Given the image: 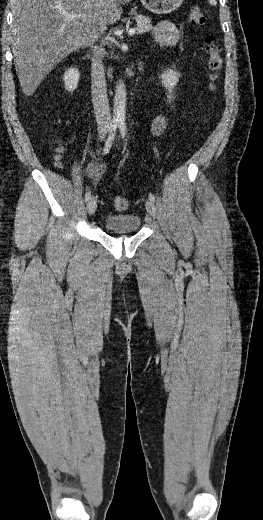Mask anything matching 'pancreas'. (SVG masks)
<instances>
[{
  "label": "pancreas",
  "instance_id": "pancreas-1",
  "mask_svg": "<svg viewBox=\"0 0 263 520\" xmlns=\"http://www.w3.org/2000/svg\"><path fill=\"white\" fill-rule=\"evenodd\" d=\"M135 20L137 21L136 31L137 33L149 32L153 29L151 24V18L143 15L135 16Z\"/></svg>",
  "mask_w": 263,
  "mask_h": 520
}]
</instances>
